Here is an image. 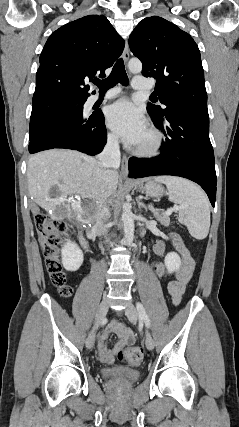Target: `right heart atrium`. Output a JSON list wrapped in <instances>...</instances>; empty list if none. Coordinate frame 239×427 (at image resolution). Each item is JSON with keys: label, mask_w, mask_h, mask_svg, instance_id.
I'll return each instance as SVG.
<instances>
[{"label": "right heart atrium", "mask_w": 239, "mask_h": 427, "mask_svg": "<svg viewBox=\"0 0 239 427\" xmlns=\"http://www.w3.org/2000/svg\"><path fill=\"white\" fill-rule=\"evenodd\" d=\"M107 143L110 147L115 148L118 145L117 138L114 134L109 133L107 135Z\"/></svg>", "instance_id": "obj_1"}]
</instances>
